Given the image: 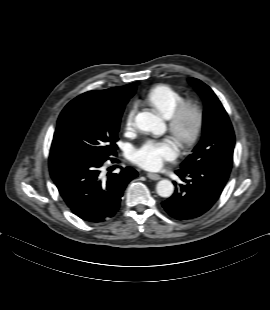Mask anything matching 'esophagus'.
Listing matches in <instances>:
<instances>
[{
  "mask_svg": "<svg viewBox=\"0 0 270 310\" xmlns=\"http://www.w3.org/2000/svg\"><path fill=\"white\" fill-rule=\"evenodd\" d=\"M147 177L155 181L161 179V176L155 173H147Z\"/></svg>",
  "mask_w": 270,
  "mask_h": 310,
  "instance_id": "esophagus-1",
  "label": "esophagus"
}]
</instances>
